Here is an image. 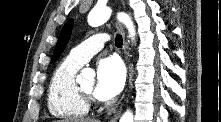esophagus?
<instances>
[{"mask_svg": "<svg viewBox=\"0 0 221 122\" xmlns=\"http://www.w3.org/2000/svg\"><path fill=\"white\" fill-rule=\"evenodd\" d=\"M118 28H119V30L122 34V37H123V50H124V55H125V60H126V63H127L128 71H129L130 66H129V62H128L127 42L125 40L124 28L121 24L118 25ZM121 108L122 107H120V110L115 114V116L109 122H117V120L120 116V113H121Z\"/></svg>", "mask_w": 221, "mask_h": 122, "instance_id": "esophagus-1", "label": "esophagus"}]
</instances>
